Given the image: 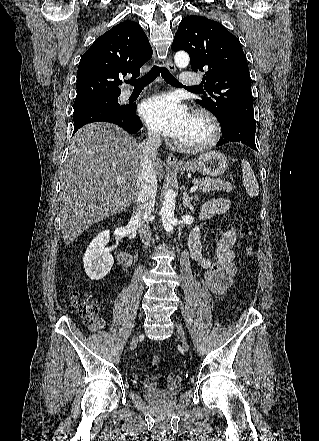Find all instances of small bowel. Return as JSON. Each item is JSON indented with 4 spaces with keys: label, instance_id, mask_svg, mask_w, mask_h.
Masks as SVG:
<instances>
[{
    "label": "small bowel",
    "instance_id": "1",
    "mask_svg": "<svg viewBox=\"0 0 319 441\" xmlns=\"http://www.w3.org/2000/svg\"><path fill=\"white\" fill-rule=\"evenodd\" d=\"M229 206L230 202L225 198L210 200L201 208L199 218L208 219L215 214L227 211ZM200 235L201 227L193 228L188 240L190 256L205 270V284L208 290L215 295H222L231 287L236 274L233 246L237 239V231L231 228L221 236L216 246V258L203 255ZM90 328L92 331L104 330L106 321L103 318H97Z\"/></svg>",
    "mask_w": 319,
    "mask_h": 441
}]
</instances>
